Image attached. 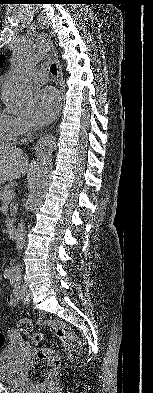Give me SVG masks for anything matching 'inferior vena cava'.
Instances as JSON below:
<instances>
[{
  "instance_id": "inferior-vena-cava-1",
  "label": "inferior vena cava",
  "mask_w": 153,
  "mask_h": 393,
  "mask_svg": "<svg viewBox=\"0 0 153 393\" xmlns=\"http://www.w3.org/2000/svg\"><path fill=\"white\" fill-rule=\"evenodd\" d=\"M24 244H25V226L21 220L20 223H18L17 238H16V249L18 250V252L22 250Z\"/></svg>"
}]
</instances>
